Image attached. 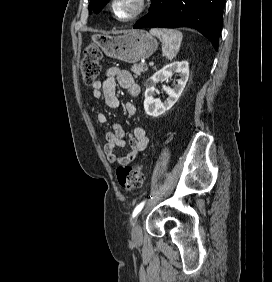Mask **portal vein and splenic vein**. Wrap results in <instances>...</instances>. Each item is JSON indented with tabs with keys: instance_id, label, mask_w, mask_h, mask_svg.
<instances>
[{
	"instance_id": "1",
	"label": "portal vein and splenic vein",
	"mask_w": 272,
	"mask_h": 282,
	"mask_svg": "<svg viewBox=\"0 0 272 282\" xmlns=\"http://www.w3.org/2000/svg\"><path fill=\"white\" fill-rule=\"evenodd\" d=\"M153 65H154V62H150V63H149V66H153Z\"/></svg>"
}]
</instances>
